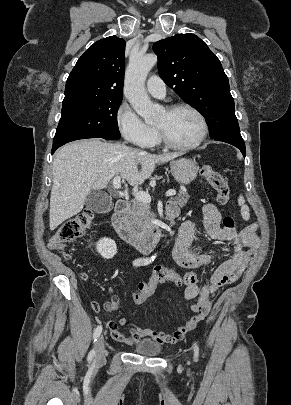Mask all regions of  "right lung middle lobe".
<instances>
[{
  "label": "right lung middle lobe",
  "instance_id": "1",
  "mask_svg": "<svg viewBox=\"0 0 291 405\" xmlns=\"http://www.w3.org/2000/svg\"><path fill=\"white\" fill-rule=\"evenodd\" d=\"M121 101L122 98H102L63 103L52 150L78 139H119L117 111Z\"/></svg>",
  "mask_w": 291,
  "mask_h": 405
}]
</instances>
